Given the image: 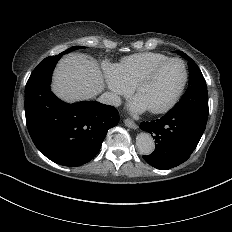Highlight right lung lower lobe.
<instances>
[{"label": "right lung lower lobe", "mask_w": 232, "mask_h": 232, "mask_svg": "<svg viewBox=\"0 0 232 232\" xmlns=\"http://www.w3.org/2000/svg\"><path fill=\"white\" fill-rule=\"evenodd\" d=\"M45 58L25 87L26 124L38 148L51 161L76 167L93 159L108 130L118 124V111L99 102L67 104L50 90L51 76L61 56Z\"/></svg>", "instance_id": "obj_1"}]
</instances>
